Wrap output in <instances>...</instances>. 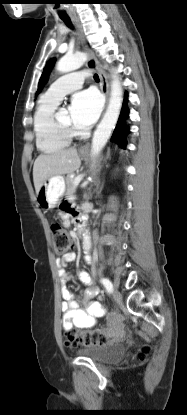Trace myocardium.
Masks as SVG:
<instances>
[{"label": "myocardium", "instance_id": "f54148a6", "mask_svg": "<svg viewBox=\"0 0 187 415\" xmlns=\"http://www.w3.org/2000/svg\"><path fill=\"white\" fill-rule=\"evenodd\" d=\"M55 122L59 129L70 138L76 134V130L72 126L62 124L58 118H55Z\"/></svg>", "mask_w": 187, "mask_h": 415}]
</instances>
